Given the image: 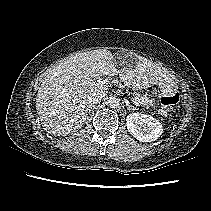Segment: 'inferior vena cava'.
I'll use <instances>...</instances> for the list:
<instances>
[{
    "mask_svg": "<svg viewBox=\"0 0 211 211\" xmlns=\"http://www.w3.org/2000/svg\"><path fill=\"white\" fill-rule=\"evenodd\" d=\"M106 91H98L96 93H93L91 96L88 97L87 102L92 105V104H97L100 102L105 96H106Z\"/></svg>",
    "mask_w": 211,
    "mask_h": 211,
    "instance_id": "inferior-vena-cava-1",
    "label": "inferior vena cava"
}]
</instances>
